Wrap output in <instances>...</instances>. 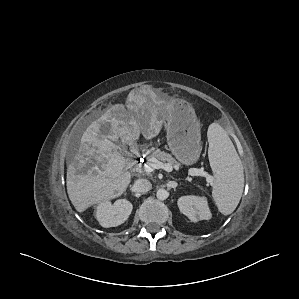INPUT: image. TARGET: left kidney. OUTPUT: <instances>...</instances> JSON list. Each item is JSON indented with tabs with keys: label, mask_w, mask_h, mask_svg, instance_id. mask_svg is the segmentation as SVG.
<instances>
[{
	"label": "left kidney",
	"mask_w": 299,
	"mask_h": 299,
	"mask_svg": "<svg viewBox=\"0 0 299 299\" xmlns=\"http://www.w3.org/2000/svg\"><path fill=\"white\" fill-rule=\"evenodd\" d=\"M177 204L180 212L186 215L192 222L209 220L212 217L207 198L204 196H182L178 199Z\"/></svg>",
	"instance_id": "1"
}]
</instances>
